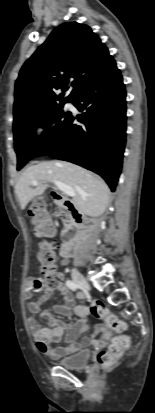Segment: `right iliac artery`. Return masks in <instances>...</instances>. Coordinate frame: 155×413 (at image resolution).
<instances>
[{
    "mask_svg": "<svg viewBox=\"0 0 155 413\" xmlns=\"http://www.w3.org/2000/svg\"><path fill=\"white\" fill-rule=\"evenodd\" d=\"M66 285L68 288H70L73 291H76L78 289V284L75 281L72 280H67Z\"/></svg>",
    "mask_w": 155,
    "mask_h": 413,
    "instance_id": "obj_1",
    "label": "right iliac artery"
}]
</instances>
